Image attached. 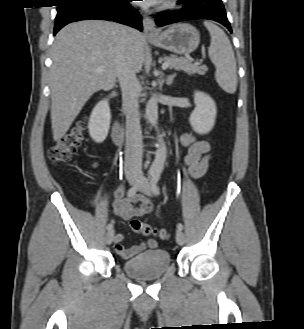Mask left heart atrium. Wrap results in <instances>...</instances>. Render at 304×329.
I'll return each instance as SVG.
<instances>
[{"label":"left heart atrium","mask_w":304,"mask_h":329,"mask_svg":"<svg viewBox=\"0 0 304 329\" xmlns=\"http://www.w3.org/2000/svg\"><path fill=\"white\" fill-rule=\"evenodd\" d=\"M142 5L149 7V6H154L160 2V0H142Z\"/></svg>","instance_id":"39dd6f15"}]
</instances>
